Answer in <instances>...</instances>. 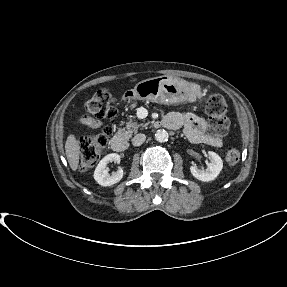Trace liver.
I'll list each match as a JSON object with an SVG mask.
<instances>
[{
    "mask_svg": "<svg viewBox=\"0 0 287 287\" xmlns=\"http://www.w3.org/2000/svg\"><path fill=\"white\" fill-rule=\"evenodd\" d=\"M65 152L69 166L76 171L79 164L80 145L73 134H70L65 143Z\"/></svg>",
    "mask_w": 287,
    "mask_h": 287,
    "instance_id": "1",
    "label": "liver"
}]
</instances>
